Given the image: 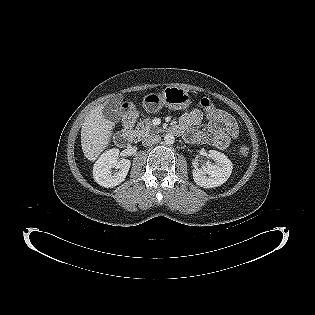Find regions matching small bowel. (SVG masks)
I'll list each match as a JSON object with an SVG mask.
<instances>
[{"instance_id":"c3829d8e","label":"small bowel","mask_w":315,"mask_h":315,"mask_svg":"<svg viewBox=\"0 0 315 315\" xmlns=\"http://www.w3.org/2000/svg\"><path fill=\"white\" fill-rule=\"evenodd\" d=\"M206 121V129L197 127ZM184 139L191 144L202 143L224 150L238 134L234 118L227 112L215 108L213 111L192 109L184 113L175 125Z\"/></svg>"}]
</instances>
